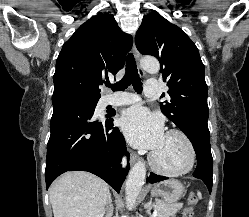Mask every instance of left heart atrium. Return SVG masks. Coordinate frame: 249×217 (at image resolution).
Wrapping results in <instances>:
<instances>
[{"label": "left heart atrium", "instance_id": "1", "mask_svg": "<svg viewBox=\"0 0 249 217\" xmlns=\"http://www.w3.org/2000/svg\"><path fill=\"white\" fill-rule=\"evenodd\" d=\"M127 140L137 148L157 149L165 136L162 120L144 107L127 109L120 120Z\"/></svg>", "mask_w": 249, "mask_h": 217}]
</instances>
